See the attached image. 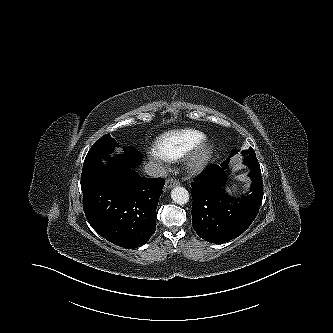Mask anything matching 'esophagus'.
<instances>
[{"mask_svg": "<svg viewBox=\"0 0 333 333\" xmlns=\"http://www.w3.org/2000/svg\"><path fill=\"white\" fill-rule=\"evenodd\" d=\"M179 184H180V182L178 180L170 178V179L166 180L164 189L169 190Z\"/></svg>", "mask_w": 333, "mask_h": 333, "instance_id": "obj_1", "label": "esophagus"}]
</instances>
